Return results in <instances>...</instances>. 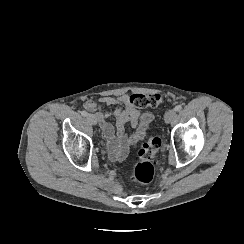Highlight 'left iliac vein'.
I'll return each mask as SVG.
<instances>
[{
  "label": "left iliac vein",
  "instance_id": "1",
  "mask_svg": "<svg viewBox=\"0 0 244 244\" xmlns=\"http://www.w3.org/2000/svg\"><path fill=\"white\" fill-rule=\"evenodd\" d=\"M176 117V112L174 110H169L166 114H165V122L167 123H171L172 120Z\"/></svg>",
  "mask_w": 244,
  "mask_h": 244
}]
</instances>
